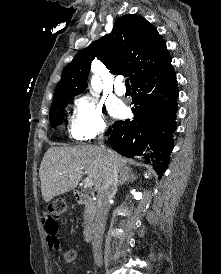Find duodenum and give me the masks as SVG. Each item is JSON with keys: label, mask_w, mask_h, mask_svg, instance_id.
<instances>
[{"label": "duodenum", "mask_w": 221, "mask_h": 274, "mask_svg": "<svg viewBox=\"0 0 221 274\" xmlns=\"http://www.w3.org/2000/svg\"><path fill=\"white\" fill-rule=\"evenodd\" d=\"M75 197L78 203L86 207L84 239L88 241L93 231V220L97 214V203L92 196L79 190L75 191Z\"/></svg>", "instance_id": "410a0bca"}]
</instances>
